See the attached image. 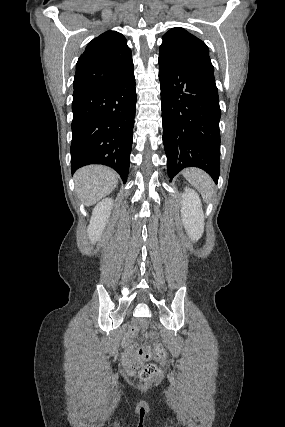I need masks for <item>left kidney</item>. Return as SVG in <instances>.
<instances>
[{
    "mask_svg": "<svg viewBox=\"0 0 285 427\" xmlns=\"http://www.w3.org/2000/svg\"><path fill=\"white\" fill-rule=\"evenodd\" d=\"M181 201V214L184 227L193 241L201 238L204 232V214L198 194L185 188Z\"/></svg>",
    "mask_w": 285,
    "mask_h": 427,
    "instance_id": "obj_1",
    "label": "left kidney"
}]
</instances>
